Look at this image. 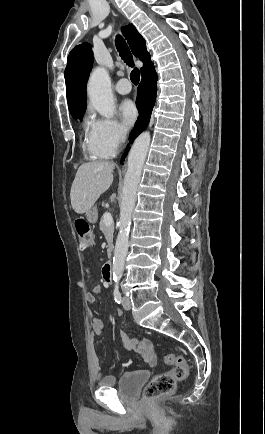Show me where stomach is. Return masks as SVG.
I'll return each instance as SVG.
<instances>
[{"label": "stomach", "mask_w": 265, "mask_h": 434, "mask_svg": "<svg viewBox=\"0 0 265 434\" xmlns=\"http://www.w3.org/2000/svg\"><path fill=\"white\" fill-rule=\"evenodd\" d=\"M97 214L98 212L96 206H94V208H91V210H88V212H86V218L88 222H96Z\"/></svg>", "instance_id": "stomach-1"}]
</instances>
